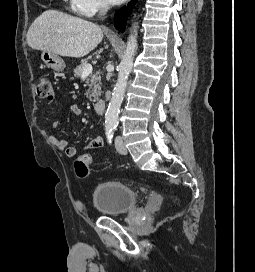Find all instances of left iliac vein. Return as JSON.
Returning a JSON list of instances; mask_svg holds the SVG:
<instances>
[{
  "instance_id": "obj_1",
  "label": "left iliac vein",
  "mask_w": 255,
  "mask_h": 272,
  "mask_svg": "<svg viewBox=\"0 0 255 272\" xmlns=\"http://www.w3.org/2000/svg\"><path fill=\"white\" fill-rule=\"evenodd\" d=\"M115 147L120 154H124V155L127 154V149H126L124 142L120 136H116V138H115Z\"/></svg>"
}]
</instances>
